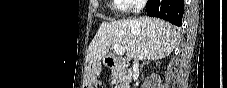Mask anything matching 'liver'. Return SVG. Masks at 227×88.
Here are the masks:
<instances>
[{
	"instance_id": "obj_1",
	"label": "liver",
	"mask_w": 227,
	"mask_h": 88,
	"mask_svg": "<svg viewBox=\"0 0 227 88\" xmlns=\"http://www.w3.org/2000/svg\"><path fill=\"white\" fill-rule=\"evenodd\" d=\"M179 32L172 24L151 17L103 22L87 54L90 63H99L111 45L125 49L127 60H159L170 55L177 45Z\"/></svg>"
}]
</instances>
